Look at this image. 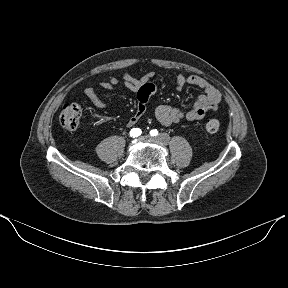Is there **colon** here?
<instances>
[{
  "mask_svg": "<svg viewBox=\"0 0 288 288\" xmlns=\"http://www.w3.org/2000/svg\"><path fill=\"white\" fill-rule=\"evenodd\" d=\"M82 118V106L79 103L65 104L59 115L61 126L67 130L76 129ZM220 122L218 119H210L205 125L208 134H214L219 130Z\"/></svg>",
  "mask_w": 288,
  "mask_h": 288,
  "instance_id": "colon-1",
  "label": "colon"
}]
</instances>
